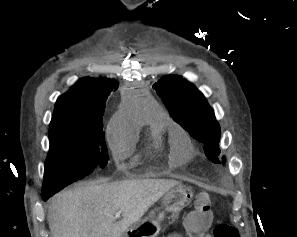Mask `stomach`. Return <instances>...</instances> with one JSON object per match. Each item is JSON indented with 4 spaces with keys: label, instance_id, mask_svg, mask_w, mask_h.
I'll use <instances>...</instances> for the list:
<instances>
[{
    "label": "stomach",
    "instance_id": "0dacf381",
    "mask_svg": "<svg viewBox=\"0 0 297 237\" xmlns=\"http://www.w3.org/2000/svg\"><path fill=\"white\" fill-rule=\"evenodd\" d=\"M192 197L193 193L189 188L178 185L166 192L162 200V207L165 211L177 214L191 202ZM165 211L160 209L151 211L147 217L131 225L121 237H156L161 230Z\"/></svg>",
    "mask_w": 297,
    "mask_h": 237
}]
</instances>
